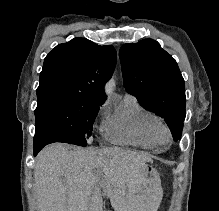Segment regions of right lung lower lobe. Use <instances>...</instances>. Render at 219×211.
Returning a JSON list of instances; mask_svg holds the SVG:
<instances>
[{
    "instance_id": "98d812e1",
    "label": "right lung lower lobe",
    "mask_w": 219,
    "mask_h": 211,
    "mask_svg": "<svg viewBox=\"0 0 219 211\" xmlns=\"http://www.w3.org/2000/svg\"><path fill=\"white\" fill-rule=\"evenodd\" d=\"M54 142H65L74 144L75 142L66 138L53 136V135H43L40 137H34V156L47 144L54 143Z\"/></svg>"
}]
</instances>
